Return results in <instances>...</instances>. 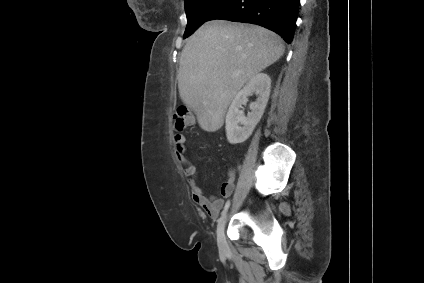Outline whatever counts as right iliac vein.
Instances as JSON below:
<instances>
[{
	"instance_id": "obj_1",
	"label": "right iliac vein",
	"mask_w": 424,
	"mask_h": 283,
	"mask_svg": "<svg viewBox=\"0 0 424 283\" xmlns=\"http://www.w3.org/2000/svg\"><path fill=\"white\" fill-rule=\"evenodd\" d=\"M225 224H226V215H224L219 220L217 225V244L221 252H226L228 250V245H227L225 234H224Z\"/></svg>"
}]
</instances>
